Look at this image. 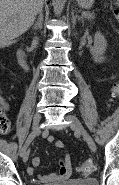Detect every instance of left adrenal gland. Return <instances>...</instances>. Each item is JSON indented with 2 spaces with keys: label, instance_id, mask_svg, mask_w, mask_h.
<instances>
[{
  "label": "left adrenal gland",
  "instance_id": "left-adrenal-gland-1",
  "mask_svg": "<svg viewBox=\"0 0 119 185\" xmlns=\"http://www.w3.org/2000/svg\"><path fill=\"white\" fill-rule=\"evenodd\" d=\"M72 19H73V23L75 24L76 19H78L79 21L83 22V16H79V15H74L72 14Z\"/></svg>",
  "mask_w": 119,
  "mask_h": 185
}]
</instances>
